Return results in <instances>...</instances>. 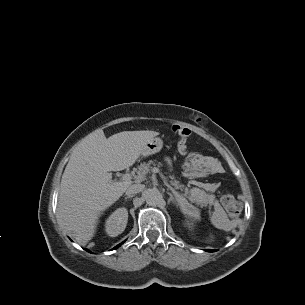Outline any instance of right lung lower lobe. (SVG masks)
<instances>
[{"label": "right lung lower lobe", "mask_w": 305, "mask_h": 305, "mask_svg": "<svg viewBox=\"0 0 305 305\" xmlns=\"http://www.w3.org/2000/svg\"><path fill=\"white\" fill-rule=\"evenodd\" d=\"M122 243H120L119 245H117L116 247H114L113 249H117L119 246H121ZM87 250V249H85ZM89 252V250H87Z\"/></svg>", "instance_id": "obj_1"}]
</instances>
